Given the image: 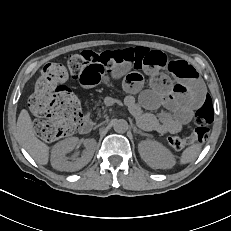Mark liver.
<instances>
[{"mask_svg": "<svg viewBox=\"0 0 231 231\" xmlns=\"http://www.w3.org/2000/svg\"><path fill=\"white\" fill-rule=\"evenodd\" d=\"M17 133L21 145L39 164L46 165L49 161V146L40 141L33 128L31 117L26 109H22L17 120Z\"/></svg>", "mask_w": 231, "mask_h": 231, "instance_id": "obj_1", "label": "liver"}]
</instances>
